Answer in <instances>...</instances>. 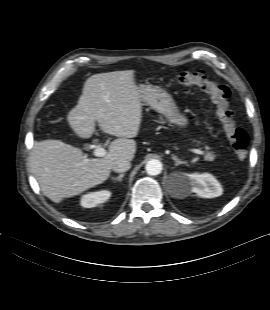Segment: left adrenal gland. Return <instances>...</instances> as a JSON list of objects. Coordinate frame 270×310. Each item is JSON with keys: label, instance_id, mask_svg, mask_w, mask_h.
I'll list each match as a JSON object with an SVG mask.
<instances>
[{"label": "left adrenal gland", "instance_id": "obj_1", "mask_svg": "<svg viewBox=\"0 0 270 310\" xmlns=\"http://www.w3.org/2000/svg\"><path fill=\"white\" fill-rule=\"evenodd\" d=\"M172 159L175 161V166H178L180 164H187L186 161H182L180 160L177 156L175 155H172Z\"/></svg>", "mask_w": 270, "mask_h": 310}]
</instances>
